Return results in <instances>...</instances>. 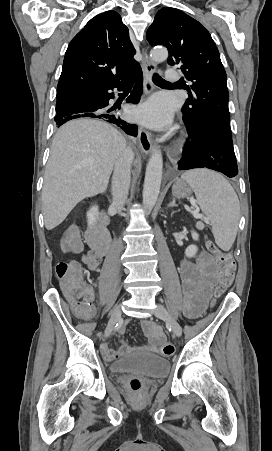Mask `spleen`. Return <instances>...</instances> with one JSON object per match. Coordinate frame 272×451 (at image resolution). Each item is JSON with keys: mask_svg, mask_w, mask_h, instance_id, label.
Instances as JSON below:
<instances>
[{"mask_svg": "<svg viewBox=\"0 0 272 451\" xmlns=\"http://www.w3.org/2000/svg\"><path fill=\"white\" fill-rule=\"evenodd\" d=\"M195 192L197 204L212 224L215 241L223 251L231 249L240 218L238 196L231 184L221 174L197 168L181 176Z\"/></svg>", "mask_w": 272, "mask_h": 451, "instance_id": "spleen-1", "label": "spleen"}]
</instances>
